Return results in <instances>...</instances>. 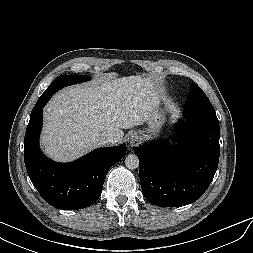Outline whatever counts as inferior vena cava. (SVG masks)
<instances>
[{
  "label": "inferior vena cava",
  "mask_w": 253,
  "mask_h": 253,
  "mask_svg": "<svg viewBox=\"0 0 253 253\" xmlns=\"http://www.w3.org/2000/svg\"><path fill=\"white\" fill-rule=\"evenodd\" d=\"M100 139L103 144L113 143L115 141V137L112 134L106 132H103L101 134Z\"/></svg>",
  "instance_id": "602c4592"
}]
</instances>
